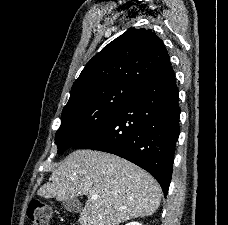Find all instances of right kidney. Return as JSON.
<instances>
[{"mask_svg": "<svg viewBox=\"0 0 228 225\" xmlns=\"http://www.w3.org/2000/svg\"><path fill=\"white\" fill-rule=\"evenodd\" d=\"M127 225H141V223H136V221H133V223H127Z\"/></svg>", "mask_w": 228, "mask_h": 225, "instance_id": "1", "label": "right kidney"}]
</instances>
